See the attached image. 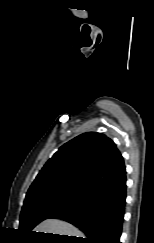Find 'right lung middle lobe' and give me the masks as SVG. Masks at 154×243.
I'll return each mask as SVG.
<instances>
[{"label": "right lung middle lobe", "mask_w": 154, "mask_h": 243, "mask_svg": "<svg viewBox=\"0 0 154 243\" xmlns=\"http://www.w3.org/2000/svg\"><path fill=\"white\" fill-rule=\"evenodd\" d=\"M86 200L68 195H51L24 202L19 231L21 234H30L32 229L41 221L53 218L65 210L76 208L84 204Z\"/></svg>", "instance_id": "right-lung-middle-lobe-1"}]
</instances>
